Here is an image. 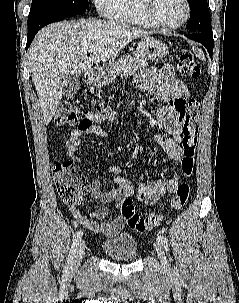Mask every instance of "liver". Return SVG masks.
Returning a JSON list of instances; mask_svg holds the SVG:
<instances>
[{"label":"liver","mask_w":239,"mask_h":303,"mask_svg":"<svg viewBox=\"0 0 239 303\" xmlns=\"http://www.w3.org/2000/svg\"><path fill=\"white\" fill-rule=\"evenodd\" d=\"M147 35L123 21L97 19L64 21L41 29L28 50V63L44 123L55 115L69 75L114 58L131 41ZM90 47L95 50L89 52Z\"/></svg>","instance_id":"6515ba94"}]
</instances>
